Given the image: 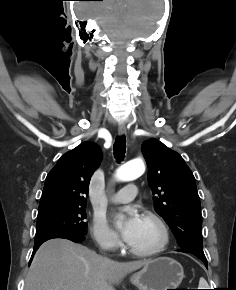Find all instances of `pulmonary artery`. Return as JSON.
I'll list each match as a JSON object with an SVG mask.
<instances>
[{"label":"pulmonary artery","instance_id":"1","mask_svg":"<svg viewBox=\"0 0 236 290\" xmlns=\"http://www.w3.org/2000/svg\"><path fill=\"white\" fill-rule=\"evenodd\" d=\"M137 193L138 190L135 184H127L112 196L111 201L114 203H127L133 200Z\"/></svg>","mask_w":236,"mask_h":290}]
</instances>
